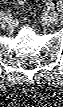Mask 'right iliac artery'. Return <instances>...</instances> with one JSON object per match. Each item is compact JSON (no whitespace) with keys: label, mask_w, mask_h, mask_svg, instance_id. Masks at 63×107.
Here are the masks:
<instances>
[{"label":"right iliac artery","mask_w":63,"mask_h":107,"mask_svg":"<svg viewBox=\"0 0 63 107\" xmlns=\"http://www.w3.org/2000/svg\"><path fill=\"white\" fill-rule=\"evenodd\" d=\"M1 19L6 20L7 22H11L13 19V16L11 14H7V15L1 14Z\"/></svg>","instance_id":"1"}]
</instances>
